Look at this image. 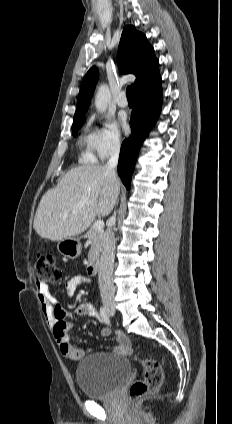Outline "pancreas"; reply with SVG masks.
Returning a JSON list of instances; mask_svg holds the SVG:
<instances>
[{
  "mask_svg": "<svg viewBox=\"0 0 232 424\" xmlns=\"http://www.w3.org/2000/svg\"><path fill=\"white\" fill-rule=\"evenodd\" d=\"M85 237L88 239V242L91 245L90 251L88 253V261L89 263H92L99 257V252L103 241V230H96L92 226L87 231Z\"/></svg>",
  "mask_w": 232,
  "mask_h": 424,
  "instance_id": "obj_1",
  "label": "pancreas"
}]
</instances>
